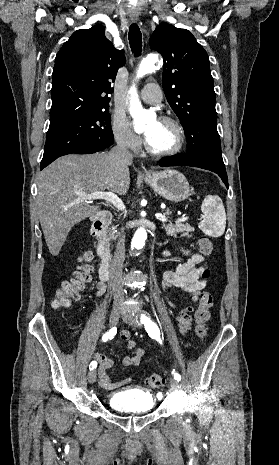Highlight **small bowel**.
Listing matches in <instances>:
<instances>
[{
  "label": "small bowel",
  "mask_w": 279,
  "mask_h": 465,
  "mask_svg": "<svg viewBox=\"0 0 279 465\" xmlns=\"http://www.w3.org/2000/svg\"><path fill=\"white\" fill-rule=\"evenodd\" d=\"M182 253L187 256V260L179 263L176 266L166 270L163 274V288H174L186 293L192 301H197L201 291L206 287L207 280L203 277V271L206 268V262L200 254L190 253L188 250L181 249ZM170 252L166 251L164 255L169 256ZM105 292V284L103 281L97 284V294L103 295ZM171 306H175L172 301H169ZM195 309L193 307L183 308L178 315L175 316L176 325L181 334H186L192 327L193 318L191 316ZM121 339L126 342L130 355L124 357L123 365L127 367H138L145 356V350L136 346L134 340L131 339L130 333L126 330L122 331ZM95 362H98V377L102 388L113 390L128 384L132 379L126 378L121 381L113 382L108 376V370L113 368L114 360L103 354L95 353L93 355Z\"/></svg>",
  "instance_id": "c3829d8e"
}]
</instances>
